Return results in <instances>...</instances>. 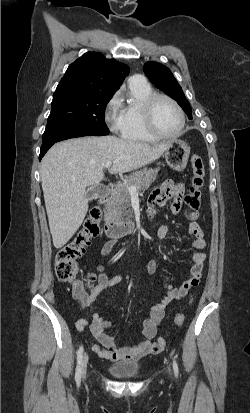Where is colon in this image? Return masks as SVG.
Masks as SVG:
<instances>
[{
  "label": "colon",
  "mask_w": 250,
  "mask_h": 413,
  "mask_svg": "<svg viewBox=\"0 0 250 413\" xmlns=\"http://www.w3.org/2000/svg\"><path fill=\"white\" fill-rule=\"evenodd\" d=\"M191 164L193 175L190 189L185 196V202L190 209L195 210L200 206L205 169L202 158L197 154L191 157ZM100 219L101 209L99 207L92 208L76 235L57 252L55 258L57 277L63 281L74 282V294L83 303L87 298L85 290L91 286L94 277L88 275L84 280H79L82 269L77 260L83 255L90 241L98 236ZM184 319V314L178 313L174 319L175 325L181 326L184 323ZM155 346L157 349L162 350L166 346V340L163 337H159L155 342Z\"/></svg>",
  "instance_id": "obj_1"
}]
</instances>
